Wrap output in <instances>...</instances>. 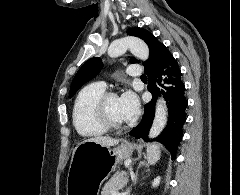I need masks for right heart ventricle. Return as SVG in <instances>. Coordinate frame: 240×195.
Segmentation results:
<instances>
[{
	"label": "right heart ventricle",
	"instance_id": "1",
	"mask_svg": "<svg viewBox=\"0 0 240 195\" xmlns=\"http://www.w3.org/2000/svg\"><path fill=\"white\" fill-rule=\"evenodd\" d=\"M106 92L102 83H92L78 94L73 107V123L84 137H98L107 132L96 116L98 99Z\"/></svg>",
	"mask_w": 240,
	"mask_h": 195
}]
</instances>
